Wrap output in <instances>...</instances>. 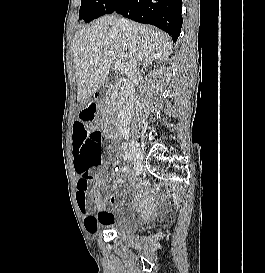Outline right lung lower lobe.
I'll list each match as a JSON object with an SVG mask.
<instances>
[{
  "instance_id": "obj_1",
  "label": "right lung lower lobe",
  "mask_w": 265,
  "mask_h": 273,
  "mask_svg": "<svg viewBox=\"0 0 265 273\" xmlns=\"http://www.w3.org/2000/svg\"><path fill=\"white\" fill-rule=\"evenodd\" d=\"M181 11L182 0H119L113 10L134 21L157 26L173 41L181 32Z\"/></svg>"
}]
</instances>
